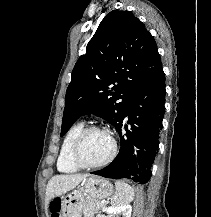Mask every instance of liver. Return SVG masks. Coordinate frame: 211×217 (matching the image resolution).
Masks as SVG:
<instances>
[{
  "label": "liver",
  "instance_id": "1",
  "mask_svg": "<svg viewBox=\"0 0 211 217\" xmlns=\"http://www.w3.org/2000/svg\"><path fill=\"white\" fill-rule=\"evenodd\" d=\"M87 174H60L53 176L46 188L45 195V210L48 212L50 203L54 198L62 196L63 194L74 189L81 181H83Z\"/></svg>",
  "mask_w": 211,
  "mask_h": 217
}]
</instances>
